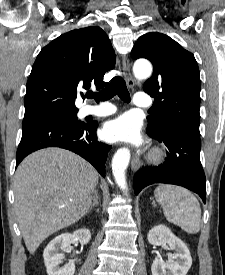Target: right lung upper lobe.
<instances>
[{"label":"right lung upper lobe","mask_w":225,"mask_h":275,"mask_svg":"<svg viewBox=\"0 0 225 275\" xmlns=\"http://www.w3.org/2000/svg\"><path fill=\"white\" fill-rule=\"evenodd\" d=\"M116 56L106 33L87 27L65 33L38 54L27 81L25 115L56 110H78L77 89L102 88L104 74L115 66Z\"/></svg>","instance_id":"cb5924a9"}]
</instances>
